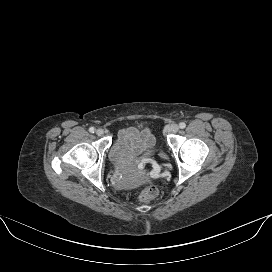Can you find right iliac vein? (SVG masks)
I'll use <instances>...</instances> for the list:
<instances>
[{
	"instance_id": "right-iliac-vein-1",
	"label": "right iliac vein",
	"mask_w": 272,
	"mask_h": 272,
	"mask_svg": "<svg viewBox=\"0 0 272 272\" xmlns=\"http://www.w3.org/2000/svg\"><path fill=\"white\" fill-rule=\"evenodd\" d=\"M96 134L98 136H102L104 134V130L103 129H97Z\"/></svg>"
}]
</instances>
